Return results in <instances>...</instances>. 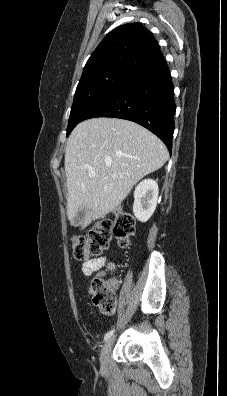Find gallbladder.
Listing matches in <instances>:
<instances>
[{"label": "gallbladder", "mask_w": 227, "mask_h": 396, "mask_svg": "<svg viewBox=\"0 0 227 396\" xmlns=\"http://www.w3.org/2000/svg\"><path fill=\"white\" fill-rule=\"evenodd\" d=\"M85 216H86V209L85 208L79 209L73 218L72 225L74 227L79 226L81 222L84 220Z\"/></svg>", "instance_id": "bac80fb5"}]
</instances>
